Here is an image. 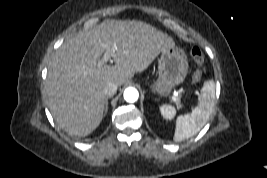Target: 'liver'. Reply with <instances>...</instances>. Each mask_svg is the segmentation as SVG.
<instances>
[{
    "instance_id": "6515ba94",
    "label": "liver",
    "mask_w": 267,
    "mask_h": 178,
    "mask_svg": "<svg viewBox=\"0 0 267 178\" xmlns=\"http://www.w3.org/2000/svg\"><path fill=\"white\" fill-rule=\"evenodd\" d=\"M117 46L114 66L100 65L106 46ZM173 39L141 21L110 20L66 40L52 57L45 83L46 102L57 125L85 137L101 123L104 86L123 85L142 72Z\"/></svg>"
}]
</instances>
